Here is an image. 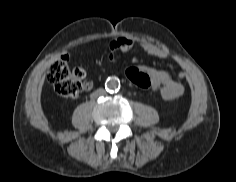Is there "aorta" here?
Here are the masks:
<instances>
[{
	"instance_id": "obj_1",
	"label": "aorta",
	"mask_w": 236,
	"mask_h": 182,
	"mask_svg": "<svg viewBox=\"0 0 236 182\" xmlns=\"http://www.w3.org/2000/svg\"><path fill=\"white\" fill-rule=\"evenodd\" d=\"M105 88L108 92H117L120 89V81L114 77L108 78L105 83Z\"/></svg>"
}]
</instances>
